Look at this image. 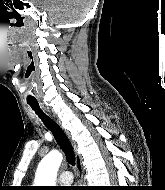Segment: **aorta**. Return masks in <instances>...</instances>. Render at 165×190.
Listing matches in <instances>:
<instances>
[{
	"label": "aorta",
	"mask_w": 165,
	"mask_h": 190,
	"mask_svg": "<svg viewBox=\"0 0 165 190\" xmlns=\"http://www.w3.org/2000/svg\"><path fill=\"white\" fill-rule=\"evenodd\" d=\"M62 159L63 157L58 151H51L46 155L38 166L36 183L40 186H54Z\"/></svg>",
	"instance_id": "obj_1"
}]
</instances>
